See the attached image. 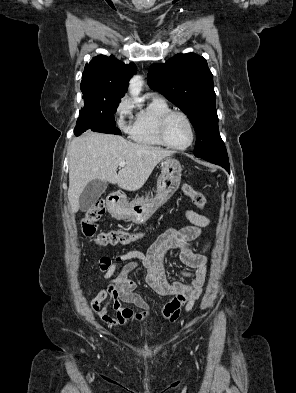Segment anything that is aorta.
I'll return each instance as SVG.
<instances>
[{
    "label": "aorta",
    "instance_id": "762f6f07",
    "mask_svg": "<svg viewBox=\"0 0 296 393\" xmlns=\"http://www.w3.org/2000/svg\"><path fill=\"white\" fill-rule=\"evenodd\" d=\"M143 86V80L142 77L140 76H134L129 83V91L131 96L137 100L138 99V95L141 92Z\"/></svg>",
    "mask_w": 296,
    "mask_h": 393
}]
</instances>
